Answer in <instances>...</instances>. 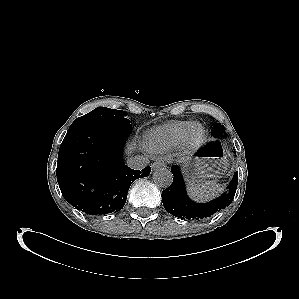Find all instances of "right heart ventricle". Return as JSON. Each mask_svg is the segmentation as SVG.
Instances as JSON below:
<instances>
[{
	"mask_svg": "<svg viewBox=\"0 0 299 299\" xmlns=\"http://www.w3.org/2000/svg\"><path fill=\"white\" fill-rule=\"evenodd\" d=\"M190 125L189 121H172L154 127L146 137V146L153 153H163L176 147Z\"/></svg>",
	"mask_w": 299,
	"mask_h": 299,
	"instance_id": "obj_1",
	"label": "right heart ventricle"
}]
</instances>
